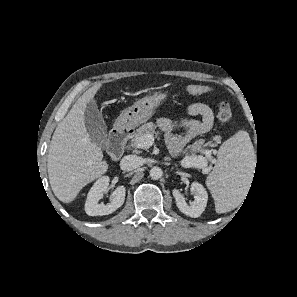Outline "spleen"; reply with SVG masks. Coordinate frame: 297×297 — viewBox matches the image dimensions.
<instances>
[{
  "mask_svg": "<svg viewBox=\"0 0 297 297\" xmlns=\"http://www.w3.org/2000/svg\"><path fill=\"white\" fill-rule=\"evenodd\" d=\"M255 159L254 147L246 131H239L220 146L217 163L206 181L217 213L228 211L245 194Z\"/></svg>",
  "mask_w": 297,
  "mask_h": 297,
  "instance_id": "1",
  "label": "spleen"
}]
</instances>
